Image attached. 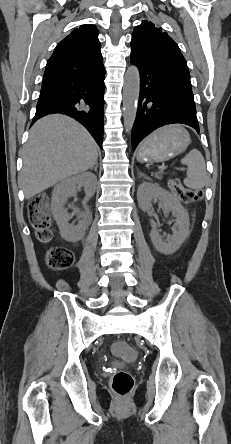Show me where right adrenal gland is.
<instances>
[{"label": "right adrenal gland", "instance_id": "1", "mask_svg": "<svg viewBox=\"0 0 231 444\" xmlns=\"http://www.w3.org/2000/svg\"><path fill=\"white\" fill-rule=\"evenodd\" d=\"M97 168H98V163L96 162L95 165H94V167L91 168V170L94 169V171L97 172Z\"/></svg>", "mask_w": 231, "mask_h": 444}]
</instances>
